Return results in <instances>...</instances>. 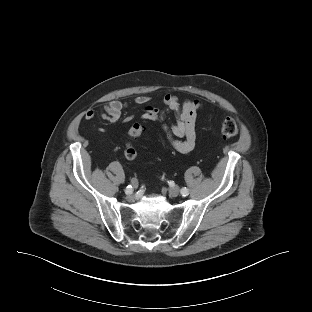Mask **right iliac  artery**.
I'll list each match as a JSON object with an SVG mask.
<instances>
[{
    "instance_id": "1",
    "label": "right iliac artery",
    "mask_w": 312,
    "mask_h": 312,
    "mask_svg": "<svg viewBox=\"0 0 312 312\" xmlns=\"http://www.w3.org/2000/svg\"><path fill=\"white\" fill-rule=\"evenodd\" d=\"M132 191H133V187L131 185H128L125 190L126 194L132 193Z\"/></svg>"
}]
</instances>
